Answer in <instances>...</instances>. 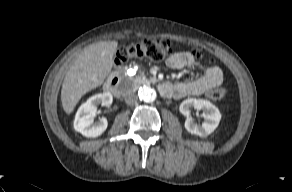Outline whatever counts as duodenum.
<instances>
[{"mask_svg":"<svg viewBox=\"0 0 292 192\" xmlns=\"http://www.w3.org/2000/svg\"><path fill=\"white\" fill-rule=\"evenodd\" d=\"M106 90L112 93L116 97L122 95V85L120 74H114L111 76L106 83ZM159 91L162 95H166L170 91V84L161 83L159 85Z\"/></svg>","mask_w":292,"mask_h":192,"instance_id":"obj_1","label":"duodenum"}]
</instances>
